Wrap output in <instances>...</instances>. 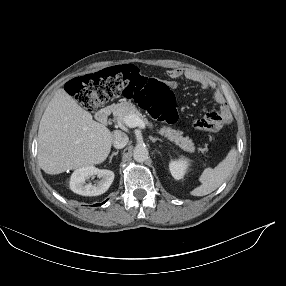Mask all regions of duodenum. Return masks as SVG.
<instances>
[{"instance_id":"1","label":"duodenum","mask_w":286,"mask_h":286,"mask_svg":"<svg viewBox=\"0 0 286 286\" xmlns=\"http://www.w3.org/2000/svg\"><path fill=\"white\" fill-rule=\"evenodd\" d=\"M111 111H112L111 107H105L99 110V112L97 113V119L99 120L101 124L105 126L108 125L109 116L111 114Z\"/></svg>"}]
</instances>
